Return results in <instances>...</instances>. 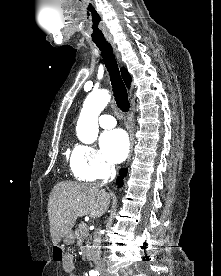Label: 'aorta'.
Instances as JSON below:
<instances>
[{
	"instance_id": "1",
	"label": "aorta",
	"mask_w": 221,
	"mask_h": 276,
	"mask_svg": "<svg viewBox=\"0 0 221 276\" xmlns=\"http://www.w3.org/2000/svg\"><path fill=\"white\" fill-rule=\"evenodd\" d=\"M111 96L107 90L90 93L81 110L76 131L79 140L85 144L95 142L98 137V116L109 103Z\"/></svg>"
}]
</instances>
